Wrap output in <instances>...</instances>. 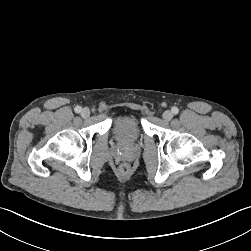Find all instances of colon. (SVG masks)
Listing matches in <instances>:
<instances>
[{
  "label": "colon",
  "mask_w": 251,
  "mask_h": 251,
  "mask_svg": "<svg viewBox=\"0 0 251 251\" xmlns=\"http://www.w3.org/2000/svg\"><path fill=\"white\" fill-rule=\"evenodd\" d=\"M119 170H120V172H122V173H126L127 171H128V166H127V164H121L120 165V167H119Z\"/></svg>",
  "instance_id": "1"
}]
</instances>
